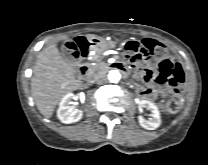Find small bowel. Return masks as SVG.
Masks as SVG:
<instances>
[{
	"label": "small bowel",
	"instance_id": "small-bowel-1",
	"mask_svg": "<svg viewBox=\"0 0 208 165\" xmlns=\"http://www.w3.org/2000/svg\"><path fill=\"white\" fill-rule=\"evenodd\" d=\"M135 75L150 84L138 90L140 97L155 100L161 95L172 93V88L179 87L185 79L186 69L172 56H163L157 67L145 66L141 71L137 70Z\"/></svg>",
	"mask_w": 208,
	"mask_h": 165
}]
</instances>
